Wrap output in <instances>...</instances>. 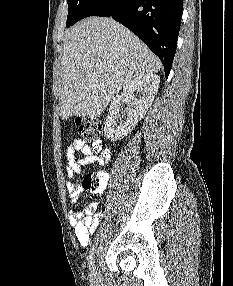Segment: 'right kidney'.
Instances as JSON below:
<instances>
[{"mask_svg":"<svg viewBox=\"0 0 233 286\" xmlns=\"http://www.w3.org/2000/svg\"><path fill=\"white\" fill-rule=\"evenodd\" d=\"M159 83L158 75L145 73L131 80L124 86L123 92L113 98L104 128L109 140H121L135 128L154 101ZM135 92L140 94L138 98L135 97ZM124 103H128L125 119L119 114Z\"/></svg>","mask_w":233,"mask_h":286,"instance_id":"right-kidney-1","label":"right kidney"}]
</instances>
